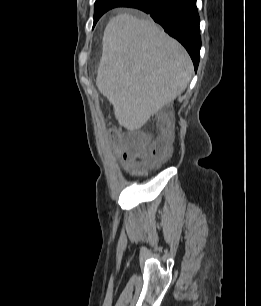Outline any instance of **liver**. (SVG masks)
Instances as JSON below:
<instances>
[{
	"instance_id": "liver-1",
	"label": "liver",
	"mask_w": 261,
	"mask_h": 306,
	"mask_svg": "<svg viewBox=\"0 0 261 306\" xmlns=\"http://www.w3.org/2000/svg\"><path fill=\"white\" fill-rule=\"evenodd\" d=\"M192 73L182 45L152 21L124 13L108 22L96 86L127 130L141 128L179 96Z\"/></svg>"
}]
</instances>
